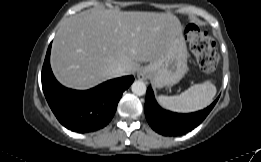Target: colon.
<instances>
[{
    "mask_svg": "<svg viewBox=\"0 0 261 162\" xmlns=\"http://www.w3.org/2000/svg\"><path fill=\"white\" fill-rule=\"evenodd\" d=\"M185 36L200 68L207 74L213 73L218 64L219 55L214 49L210 35L194 25H189L185 29Z\"/></svg>",
    "mask_w": 261,
    "mask_h": 162,
    "instance_id": "5ec220e1",
    "label": "colon"
}]
</instances>
